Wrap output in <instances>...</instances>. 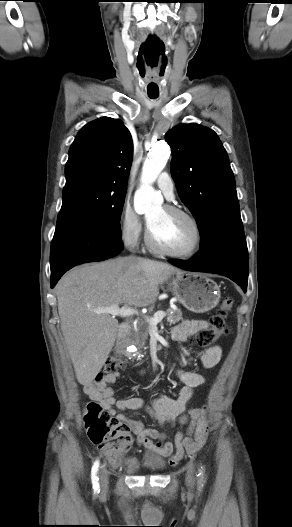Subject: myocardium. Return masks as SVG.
<instances>
[{"instance_id": "obj_1", "label": "myocardium", "mask_w": 292, "mask_h": 527, "mask_svg": "<svg viewBox=\"0 0 292 527\" xmlns=\"http://www.w3.org/2000/svg\"><path fill=\"white\" fill-rule=\"evenodd\" d=\"M164 210L167 212L178 214L183 217H185L192 225L194 229V240L192 245L184 251H174L167 249L161 245H159L153 238L150 228L148 227L145 234V241L146 245L150 250H152L155 253L173 257V258H179V259H188L193 257L201 248L203 243V231L202 227L198 221V219L188 210L183 209L181 207H177L174 205H164Z\"/></svg>"}]
</instances>
